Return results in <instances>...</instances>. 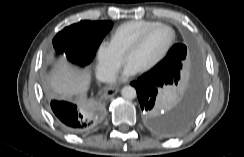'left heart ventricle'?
I'll return each instance as SVG.
<instances>
[{"label":"left heart ventricle","mask_w":244,"mask_h":157,"mask_svg":"<svg viewBox=\"0 0 244 157\" xmlns=\"http://www.w3.org/2000/svg\"><path fill=\"white\" fill-rule=\"evenodd\" d=\"M171 35L168 28H156L146 37L143 44L128 56L127 61L139 69L143 68L161 54L169 43Z\"/></svg>","instance_id":"obj_1"}]
</instances>
